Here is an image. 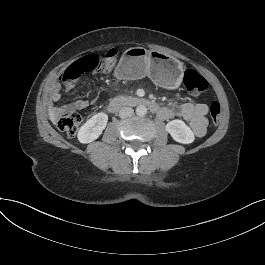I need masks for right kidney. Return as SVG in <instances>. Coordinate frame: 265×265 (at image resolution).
I'll return each mask as SVG.
<instances>
[{"instance_id":"ca27d5eb","label":"right kidney","mask_w":265,"mask_h":265,"mask_svg":"<svg viewBox=\"0 0 265 265\" xmlns=\"http://www.w3.org/2000/svg\"><path fill=\"white\" fill-rule=\"evenodd\" d=\"M108 123L106 113H97L88 119L78 130L77 139L81 144H89L97 140Z\"/></svg>"}]
</instances>
